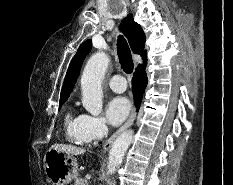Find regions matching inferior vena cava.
<instances>
[{
	"instance_id": "1",
	"label": "inferior vena cava",
	"mask_w": 233,
	"mask_h": 185,
	"mask_svg": "<svg viewBox=\"0 0 233 185\" xmlns=\"http://www.w3.org/2000/svg\"><path fill=\"white\" fill-rule=\"evenodd\" d=\"M104 134H105V136H107V134H108V128L107 127H105V129H104Z\"/></svg>"
}]
</instances>
